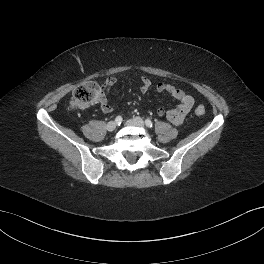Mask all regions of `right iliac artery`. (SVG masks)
<instances>
[{"label":"right iliac artery","mask_w":264,"mask_h":264,"mask_svg":"<svg viewBox=\"0 0 264 264\" xmlns=\"http://www.w3.org/2000/svg\"><path fill=\"white\" fill-rule=\"evenodd\" d=\"M122 117L121 116H117L116 118H115V122L117 123V124H121V122H122Z\"/></svg>","instance_id":"1"}]
</instances>
